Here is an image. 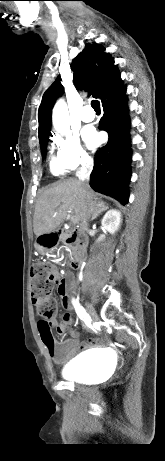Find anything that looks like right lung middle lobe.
I'll list each match as a JSON object with an SVG mask.
<instances>
[{
	"mask_svg": "<svg viewBox=\"0 0 165 461\" xmlns=\"http://www.w3.org/2000/svg\"><path fill=\"white\" fill-rule=\"evenodd\" d=\"M49 135H51V133H46L45 135L39 138L42 154L46 153V145L48 142Z\"/></svg>",
	"mask_w": 165,
	"mask_h": 461,
	"instance_id": "obj_1",
	"label": "right lung middle lobe"
}]
</instances>
